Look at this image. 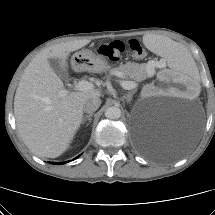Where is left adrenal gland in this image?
I'll list each match as a JSON object with an SVG mask.
<instances>
[{
  "instance_id": "obj_1",
  "label": "left adrenal gland",
  "mask_w": 215,
  "mask_h": 215,
  "mask_svg": "<svg viewBox=\"0 0 215 215\" xmlns=\"http://www.w3.org/2000/svg\"><path fill=\"white\" fill-rule=\"evenodd\" d=\"M134 94H135V91L129 92L126 96H124V99H126V101L128 103H130V101L132 100Z\"/></svg>"
}]
</instances>
